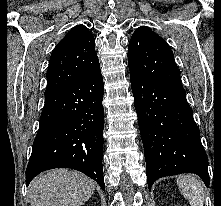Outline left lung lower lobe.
<instances>
[{"label": "left lung lower lobe", "instance_id": "obj_1", "mask_svg": "<svg viewBox=\"0 0 221 206\" xmlns=\"http://www.w3.org/2000/svg\"><path fill=\"white\" fill-rule=\"evenodd\" d=\"M149 190L155 180L195 173L209 185L208 158L184 89L130 74Z\"/></svg>", "mask_w": 221, "mask_h": 206}]
</instances>
